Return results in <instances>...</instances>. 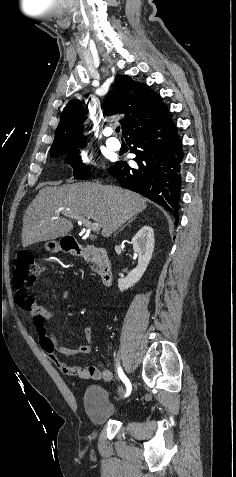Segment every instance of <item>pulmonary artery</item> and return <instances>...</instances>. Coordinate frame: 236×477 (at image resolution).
<instances>
[{"instance_id":"obj_1","label":"pulmonary artery","mask_w":236,"mask_h":477,"mask_svg":"<svg viewBox=\"0 0 236 477\" xmlns=\"http://www.w3.org/2000/svg\"><path fill=\"white\" fill-rule=\"evenodd\" d=\"M104 134L109 136L112 134V130L106 129ZM106 145L112 150H118L120 148V142L115 137H108L106 139Z\"/></svg>"}]
</instances>
